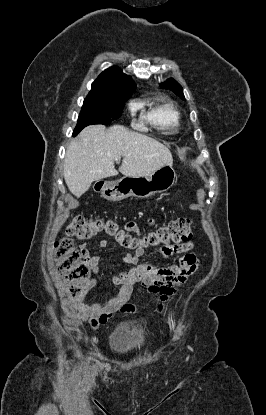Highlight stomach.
<instances>
[{
	"mask_svg": "<svg viewBox=\"0 0 266 415\" xmlns=\"http://www.w3.org/2000/svg\"><path fill=\"white\" fill-rule=\"evenodd\" d=\"M172 165H165L148 176H124L120 180L106 182L101 188L108 201H121L128 197L148 198L169 190L176 181Z\"/></svg>",
	"mask_w": 266,
	"mask_h": 415,
	"instance_id": "0dacf381",
	"label": "stomach"
}]
</instances>
